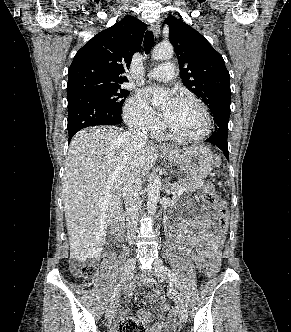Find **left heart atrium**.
Masks as SVG:
<instances>
[{
	"instance_id": "left-heart-atrium-1",
	"label": "left heart atrium",
	"mask_w": 291,
	"mask_h": 332,
	"mask_svg": "<svg viewBox=\"0 0 291 332\" xmlns=\"http://www.w3.org/2000/svg\"><path fill=\"white\" fill-rule=\"evenodd\" d=\"M163 91L161 89L158 88H148L146 90H144L143 95L146 99H151L152 97L162 93ZM176 101V99L171 98L168 103L169 104H173ZM163 117L166 119L167 117V110L163 109Z\"/></svg>"
}]
</instances>
